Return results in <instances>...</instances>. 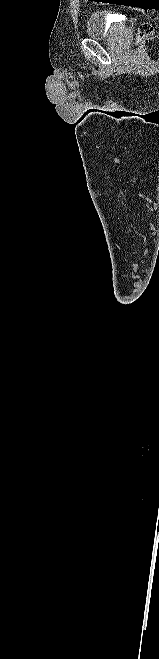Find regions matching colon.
I'll use <instances>...</instances> for the list:
<instances>
[{
    "instance_id": "1",
    "label": "colon",
    "mask_w": 159,
    "mask_h": 659,
    "mask_svg": "<svg viewBox=\"0 0 159 659\" xmlns=\"http://www.w3.org/2000/svg\"><path fill=\"white\" fill-rule=\"evenodd\" d=\"M154 29L149 23H142L138 30V40L142 41L143 39L153 35Z\"/></svg>"
}]
</instances>
